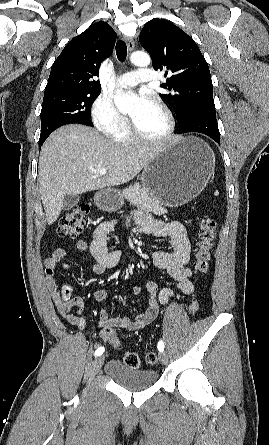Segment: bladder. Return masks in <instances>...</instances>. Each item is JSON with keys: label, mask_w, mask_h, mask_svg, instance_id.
I'll use <instances>...</instances> for the list:
<instances>
[{"label": "bladder", "mask_w": 269, "mask_h": 445, "mask_svg": "<svg viewBox=\"0 0 269 445\" xmlns=\"http://www.w3.org/2000/svg\"><path fill=\"white\" fill-rule=\"evenodd\" d=\"M105 372L115 383L133 391L150 388L158 380L156 370L131 368L118 360L109 361L105 366Z\"/></svg>", "instance_id": "bladder-1"}]
</instances>
